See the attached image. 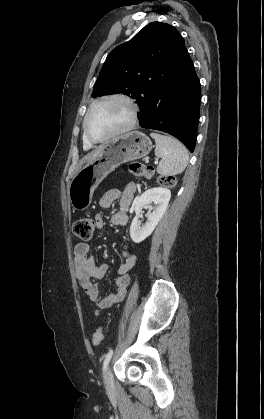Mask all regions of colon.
I'll return each instance as SVG.
<instances>
[{
	"mask_svg": "<svg viewBox=\"0 0 264 419\" xmlns=\"http://www.w3.org/2000/svg\"><path fill=\"white\" fill-rule=\"evenodd\" d=\"M129 171L138 177L151 178L154 170L151 166L144 165L140 162H131L128 166ZM159 183L164 186H174L176 179L174 177L162 176L158 179ZM95 222L90 217H83L76 220L73 224V232L76 237L81 240H90L94 231ZM104 333L101 327L97 328L93 334L92 342L94 346H99L103 340Z\"/></svg>",
	"mask_w": 264,
	"mask_h": 419,
	"instance_id": "colon-1",
	"label": "colon"
}]
</instances>
